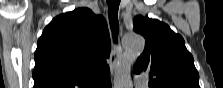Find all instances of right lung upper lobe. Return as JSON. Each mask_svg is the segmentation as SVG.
<instances>
[{"label": "right lung upper lobe", "mask_w": 223, "mask_h": 88, "mask_svg": "<svg viewBox=\"0 0 223 88\" xmlns=\"http://www.w3.org/2000/svg\"><path fill=\"white\" fill-rule=\"evenodd\" d=\"M110 39L103 16L78 8L55 17L35 51L34 88H96L109 77Z\"/></svg>", "instance_id": "obj_1"}]
</instances>
